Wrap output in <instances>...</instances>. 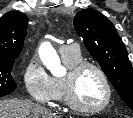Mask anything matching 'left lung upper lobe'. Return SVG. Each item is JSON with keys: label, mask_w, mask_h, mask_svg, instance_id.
Here are the masks:
<instances>
[{"label": "left lung upper lobe", "mask_w": 133, "mask_h": 118, "mask_svg": "<svg viewBox=\"0 0 133 118\" xmlns=\"http://www.w3.org/2000/svg\"><path fill=\"white\" fill-rule=\"evenodd\" d=\"M73 24L121 99L133 110V69L114 25L95 9L79 11Z\"/></svg>", "instance_id": "5c2ea615"}]
</instances>
